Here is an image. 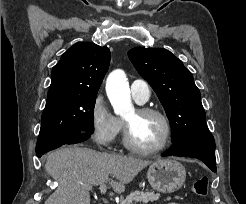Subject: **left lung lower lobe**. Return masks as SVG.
Returning a JSON list of instances; mask_svg holds the SVG:
<instances>
[{
  "mask_svg": "<svg viewBox=\"0 0 246 204\" xmlns=\"http://www.w3.org/2000/svg\"><path fill=\"white\" fill-rule=\"evenodd\" d=\"M193 157L203 161L213 172H216L215 140L209 130L187 136L165 151L162 156Z\"/></svg>",
  "mask_w": 246,
  "mask_h": 204,
  "instance_id": "0a47b994",
  "label": "left lung lower lobe"
}]
</instances>
